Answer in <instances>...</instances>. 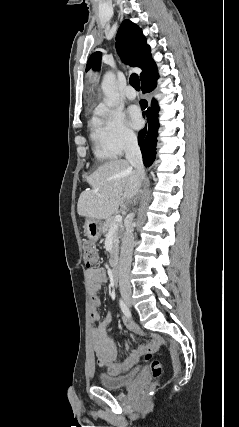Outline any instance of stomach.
<instances>
[{
  "mask_svg": "<svg viewBox=\"0 0 239 427\" xmlns=\"http://www.w3.org/2000/svg\"><path fill=\"white\" fill-rule=\"evenodd\" d=\"M102 221L98 219L88 218L85 221L84 231L87 238L96 242L102 235Z\"/></svg>",
  "mask_w": 239,
  "mask_h": 427,
  "instance_id": "0dacf381",
  "label": "stomach"
}]
</instances>
